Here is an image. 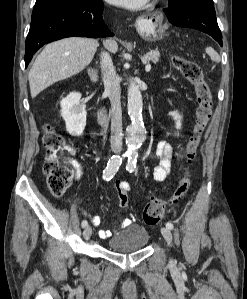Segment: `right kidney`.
I'll use <instances>...</instances> for the list:
<instances>
[{
    "instance_id": "ca27d5eb",
    "label": "right kidney",
    "mask_w": 247,
    "mask_h": 299,
    "mask_svg": "<svg viewBox=\"0 0 247 299\" xmlns=\"http://www.w3.org/2000/svg\"><path fill=\"white\" fill-rule=\"evenodd\" d=\"M61 116L71 136H80L86 126V106L81 103V93L73 92L60 102Z\"/></svg>"
}]
</instances>
